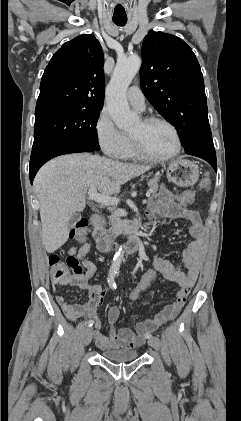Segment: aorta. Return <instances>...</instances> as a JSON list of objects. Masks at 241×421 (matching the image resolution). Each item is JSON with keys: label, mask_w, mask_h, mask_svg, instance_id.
<instances>
[{"label": "aorta", "mask_w": 241, "mask_h": 421, "mask_svg": "<svg viewBox=\"0 0 241 421\" xmlns=\"http://www.w3.org/2000/svg\"><path fill=\"white\" fill-rule=\"evenodd\" d=\"M141 66L138 56H131L119 60L107 86V107L110 116L120 129L131 128L138 120V116L130 111L126 98V90ZM123 258V251H119L113 258V266L119 267Z\"/></svg>", "instance_id": "obj_1"}]
</instances>
